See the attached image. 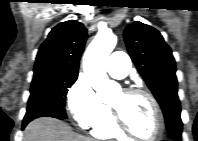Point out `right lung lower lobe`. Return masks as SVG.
<instances>
[{
    "label": "right lung lower lobe",
    "instance_id": "right-lung-lower-lobe-1",
    "mask_svg": "<svg viewBox=\"0 0 198 141\" xmlns=\"http://www.w3.org/2000/svg\"><path fill=\"white\" fill-rule=\"evenodd\" d=\"M41 115L48 116V117H54V118H58V119L64 120L63 118L58 117V116H56V115H51V114H41ZM40 117H41V116H40ZM29 122H30V121H29ZM29 122H23L22 128H25V126H26Z\"/></svg>",
    "mask_w": 198,
    "mask_h": 141
}]
</instances>
